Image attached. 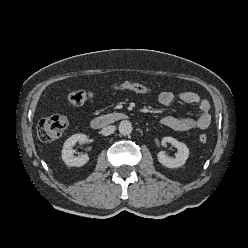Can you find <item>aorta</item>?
<instances>
[{"instance_id": "obj_1", "label": "aorta", "mask_w": 248, "mask_h": 248, "mask_svg": "<svg viewBox=\"0 0 248 248\" xmlns=\"http://www.w3.org/2000/svg\"><path fill=\"white\" fill-rule=\"evenodd\" d=\"M119 133L123 136L131 134L133 127L132 123L129 120H123L119 123Z\"/></svg>"}]
</instances>
